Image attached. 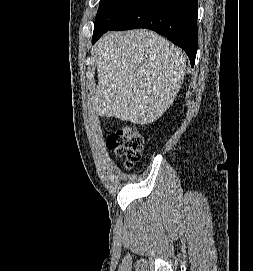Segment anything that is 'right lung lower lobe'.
Returning <instances> with one entry per match:
<instances>
[{
	"instance_id": "1",
	"label": "right lung lower lobe",
	"mask_w": 253,
	"mask_h": 271,
	"mask_svg": "<svg viewBox=\"0 0 253 271\" xmlns=\"http://www.w3.org/2000/svg\"><path fill=\"white\" fill-rule=\"evenodd\" d=\"M197 0H134L106 31L93 34L95 43L105 32L147 28L182 48L194 66L198 46Z\"/></svg>"
}]
</instances>
